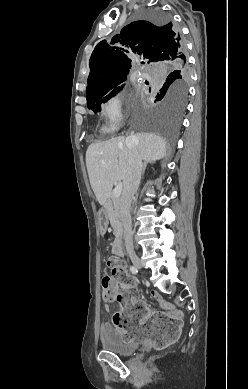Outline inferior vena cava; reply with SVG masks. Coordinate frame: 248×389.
<instances>
[{"label": "inferior vena cava", "instance_id": "1", "mask_svg": "<svg viewBox=\"0 0 248 389\" xmlns=\"http://www.w3.org/2000/svg\"><path fill=\"white\" fill-rule=\"evenodd\" d=\"M129 148V167L124 179V188L120 198V217L123 224V235L127 251H133L130 208L134 194L137 192L143 164L134 142L126 140Z\"/></svg>", "mask_w": 248, "mask_h": 389}]
</instances>
